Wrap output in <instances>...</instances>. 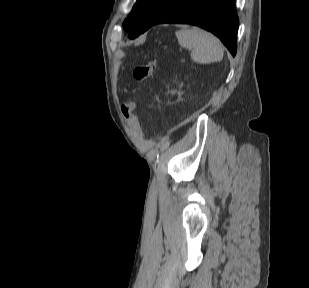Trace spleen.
<instances>
[{
    "mask_svg": "<svg viewBox=\"0 0 309 288\" xmlns=\"http://www.w3.org/2000/svg\"><path fill=\"white\" fill-rule=\"evenodd\" d=\"M179 44L192 49L191 58L199 64L219 62L223 58V47L214 35L193 27L176 32Z\"/></svg>",
    "mask_w": 309,
    "mask_h": 288,
    "instance_id": "1",
    "label": "spleen"
}]
</instances>
